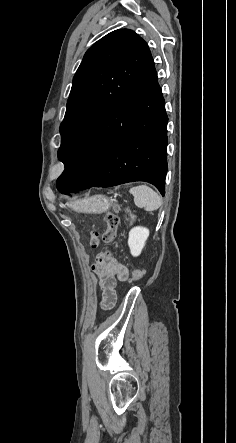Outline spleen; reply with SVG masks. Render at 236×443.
Segmentation results:
<instances>
[{"mask_svg":"<svg viewBox=\"0 0 236 443\" xmlns=\"http://www.w3.org/2000/svg\"><path fill=\"white\" fill-rule=\"evenodd\" d=\"M129 192L134 196L135 205L148 212L155 211L162 205L161 196L147 185L132 187Z\"/></svg>","mask_w":236,"mask_h":443,"instance_id":"spleen-1","label":"spleen"}]
</instances>
